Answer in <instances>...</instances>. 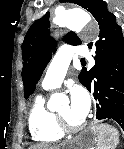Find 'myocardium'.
<instances>
[{"mask_svg":"<svg viewBox=\"0 0 124 149\" xmlns=\"http://www.w3.org/2000/svg\"><path fill=\"white\" fill-rule=\"evenodd\" d=\"M54 114V119H55V123L57 128L62 132V133H75L78 132L80 130H82L85 125H86V121L83 120L81 123L73 125L71 123H69L60 113H58L57 111L53 112Z\"/></svg>","mask_w":124,"mask_h":149,"instance_id":"f54148a6","label":"myocardium"}]
</instances>
